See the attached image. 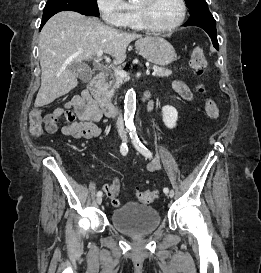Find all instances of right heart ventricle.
<instances>
[{
  "label": "right heart ventricle",
  "mask_w": 261,
  "mask_h": 273,
  "mask_svg": "<svg viewBox=\"0 0 261 273\" xmlns=\"http://www.w3.org/2000/svg\"><path fill=\"white\" fill-rule=\"evenodd\" d=\"M124 27L135 31L145 29L140 20L136 5L134 4L128 5V15Z\"/></svg>",
  "instance_id": "1"
}]
</instances>
